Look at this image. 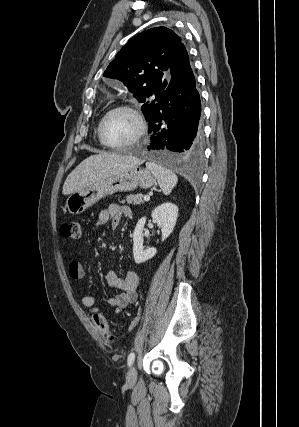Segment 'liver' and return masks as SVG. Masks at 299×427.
<instances>
[{
  "label": "liver",
  "mask_w": 299,
  "mask_h": 427,
  "mask_svg": "<svg viewBox=\"0 0 299 427\" xmlns=\"http://www.w3.org/2000/svg\"><path fill=\"white\" fill-rule=\"evenodd\" d=\"M144 161L133 156L102 152L83 160L66 178L62 193L69 195L96 181L137 167Z\"/></svg>",
  "instance_id": "6515ba94"
}]
</instances>
